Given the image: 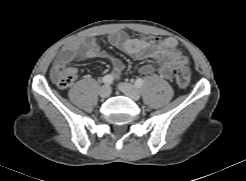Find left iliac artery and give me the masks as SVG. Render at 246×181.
Returning a JSON list of instances; mask_svg holds the SVG:
<instances>
[{"mask_svg":"<svg viewBox=\"0 0 246 181\" xmlns=\"http://www.w3.org/2000/svg\"><path fill=\"white\" fill-rule=\"evenodd\" d=\"M143 84H144V80H143L142 78H138V79L135 81V85H136L137 87H141V86H143Z\"/></svg>","mask_w":246,"mask_h":181,"instance_id":"obj_1","label":"left iliac artery"}]
</instances>
